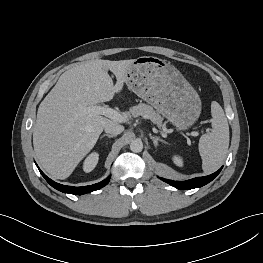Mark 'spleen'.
Segmentation results:
<instances>
[{
  "label": "spleen",
  "instance_id": "obj_1",
  "mask_svg": "<svg viewBox=\"0 0 263 263\" xmlns=\"http://www.w3.org/2000/svg\"><path fill=\"white\" fill-rule=\"evenodd\" d=\"M212 132L199 140V153L204 173L216 171L224 162L229 147V125L222 107L216 101L211 103Z\"/></svg>",
  "mask_w": 263,
  "mask_h": 263
}]
</instances>
